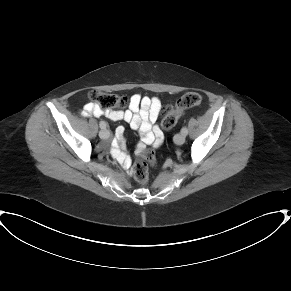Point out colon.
I'll use <instances>...</instances> for the list:
<instances>
[{"label": "colon", "mask_w": 291, "mask_h": 291, "mask_svg": "<svg viewBox=\"0 0 291 291\" xmlns=\"http://www.w3.org/2000/svg\"><path fill=\"white\" fill-rule=\"evenodd\" d=\"M91 103L96 105L101 111L112 109L125 104L126 99L112 92L94 90L89 95ZM202 97L199 93L188 92L182 95L175 105H168L163 108L162 127L165 130L173 128L186 108L199 105ZM160 140L155 142L158 146ZM155 159L154 150L151 148H141L138 150L133 165V173L137 182L146 185L149 180L148 164L153 163Z\"/></svg>", "instance_id": "1"}]
</instances>
